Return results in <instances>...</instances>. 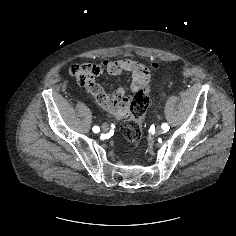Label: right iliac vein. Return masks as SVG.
<instances>
[{
    "mask_svg": "<svg viewBox=\"0 0 236 236\" xmlns=\"http://www.w3.org/2000/svg\"><path fill=\"white\" fill-rule=\"evenodd\" d=\"M101 128H102L103 131L106 132V131L109 130V125L107 123H104V124H102Z\"/></svg>",
    "mask_w": 236,
    "mask_h": 236,
    "instance_id": "obj_1",
    "label": "right iliac vein"
}]
</instances>
